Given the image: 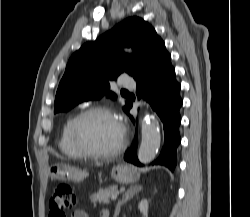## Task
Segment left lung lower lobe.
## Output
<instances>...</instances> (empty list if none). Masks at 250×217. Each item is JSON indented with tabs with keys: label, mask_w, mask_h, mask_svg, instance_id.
<instances>
[{
	"label": "left lung lower lobe",
	"mask_w": 250,
	"mask_h": 217,
	"mask_svg": "<svg viewBox=\"0 0 250 217\" xmlns=\"http://www.w3.org/2000/svg\"><path fill=\"white\" fill-rule=\"evenodd\" d=\"M134 79L137 83L136 93L138 98L146 100L163 123L164 146L153 164L167 166L173 171L177 162L176 150L181 140L179 109L182 106V99L180 98V84L176 81L175 70L171 64V56L163 41L158 44L149 65ZM131 107L132 103L130 102L126 111ZM130 118L135 123L133 117L130 116ZM137 144L138 139L136 137L124 159L135 165H141L136 154Z\"/></svg>",
	"instance_id": "0a47b994"
}]
</instances>
